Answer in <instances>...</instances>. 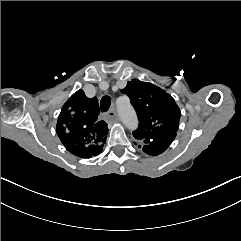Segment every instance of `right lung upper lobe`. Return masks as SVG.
I'll list each match as a JSON object with an SVG mask.
<instances>
[{
    "instance_id": "1",
    "label": "right lung upper lobe",
    "mask_w": 241,
    "mask_h": 241,
    "mask_svg": "<svg viewBox=\"0 0 241 241\" xmlns=\"http://www.w3.org/2000/svg\"><path fill=\"white\" fill-rule=\"evenodd\" d=\"M99 113L97 98H87L82 90L63 105L56 129L70 153L87 159L102 152L108 128L107 123L98 119Z\"/></svg>"
}]
</instances>
